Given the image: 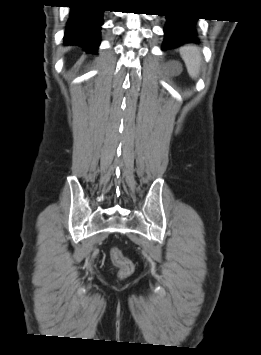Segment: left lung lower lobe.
Listing matches in <instances>:
<instances>
[{"label":"left lung lower lobe","mask_w":261,"mask_h":355,"mask_svg":"<svg viewBox=\"0 0 261 355\" xmlns=\"http://www.w3.org/2000/svg\"><path fill=\"white\" fill-rule=\"evenodd\" d=\"M167 22L164 28L165 39L162 48H177L187 43H197L198 33L195 17L188 16H166Z\"/></svg>","instance_id":"left-lung-lower-lobe-1"}]
</instances>
